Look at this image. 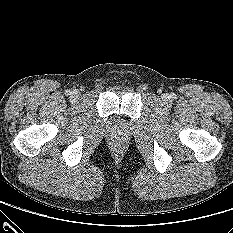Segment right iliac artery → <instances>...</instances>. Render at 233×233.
Masks as SVG:
<instances>
[{
  "instance_id": "82829eb1",
  "label": "right iliac artery",
  "mask_w": 233,
  "mask_h": 233,
  "mask_svg": "<svg viewBox=\"0 0 233 233\" xmlns=\"http://www.w3.org/2000/svg\"><path fill=\"white\" fill-rule=\"evenodd\" d=\"M65 93H66V95H71L72 94V92L70 90H67Z\"/></svg>"
}]
</instances>
